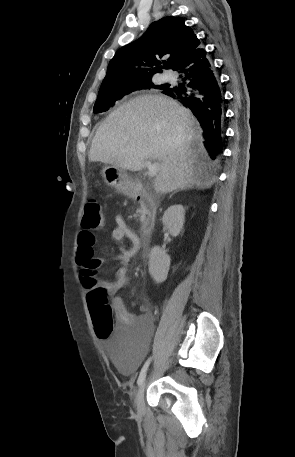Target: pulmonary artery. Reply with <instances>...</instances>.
Returning <instances> with one entry per match:
<instances>
[{"label":"pulmonary artery","instance_id":"1","mask_svg":"<svg viewBox=\"0 0 295 457\" xmlns=\"http://www.w3.org/2000/svg\"><path fill=\"white\" fill-rule=\"evenodd\" d=\"M162 78L165 80V81H170L172 79V74L166 72L162 75Z\"/></svg>","mask_w":295,"mask_h":457}]
</instances>
